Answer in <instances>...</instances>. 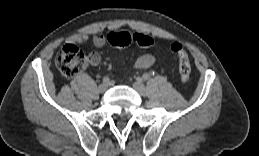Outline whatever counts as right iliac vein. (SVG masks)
<instances>
[{"mask_svg": "<svg viewBox=\"0 0 259 156\" xmlns=\"http://www.w3.org/2000/svg\"><path fill=\"white\" fill-rule=\"evenodd\" d=\"M108 89V84L107 83H102L98 86V91L100 93H104L106 92V90Z\"/></svg>", "mask_w": 259, "mask_h": 156, "instance_id": "1", "label": "right iliac vein"}]
</instances>
